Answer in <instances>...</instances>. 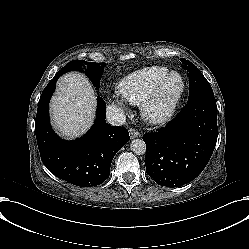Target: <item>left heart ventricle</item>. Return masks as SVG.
Listing matches in <instances>:
<instances>
[{
  "label": "left heart ventricle",
  "mask_w": 249,
  "mask_h": 249,
  "mask_svg": "<svg viewBox=\"0 0 249 249\" xmlns=\"http://www.w3.org/2000/svg\"><path fill=\"white\" fill-rule=\"evenodd\" d=\"M178 89V80L176 76H172L162 91V96L153 104L152 110L159 111L166 104L169 96L173 95Z\"/></svg>",
  "instance_id": "obj_1"
}]
</instances>
